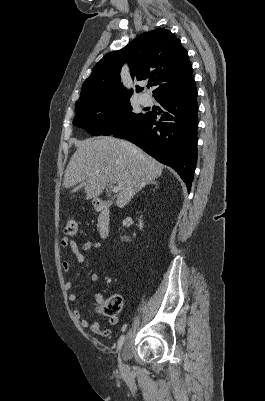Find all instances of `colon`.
<instances>
[{
  "instance_id": "5ec220e1",
  "label": "colon",
  "mask_w": 265,
  "mask_h": 401,
  "mask_svg": "<svg viewBox=\"0 0 265 401\" xmlns=\"http://www.w3.org/2000/svg\"><path fill=\"white\" fill-rule=\"evenodd\" d=\"M78 223L75 219H69L65 225V233L68 236H74L77 232ZM122 307V298L120 295H112L99 302L98 311L108 317L115 316Z\"/></svg>"
}]
</instances>
